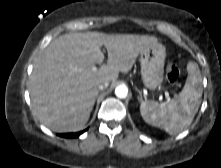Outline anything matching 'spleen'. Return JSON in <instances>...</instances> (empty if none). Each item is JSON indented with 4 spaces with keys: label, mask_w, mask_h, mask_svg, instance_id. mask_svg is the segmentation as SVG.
Wrapping results in <instances>:
<instances>
[{
    "label": "spleen",
    "mask_w": 221,
    "mask_h": 168,
    "mask_svg": "<svg viewBox=\"0 0 221 168\" xmlns=\"http://www.w3.org/2000/svg\"><path fill=\"white\" fill-rule=\"evenodd\" d=\"M188 77L183 90L168 104L143 101L140 113L145 122L171 135L179 134L193 121L202 97V77L198 65L189 62Z\"/></svg>",
    "instance_id": "spleen-1"
}]
</instances>
